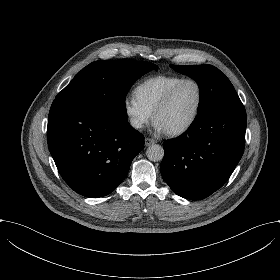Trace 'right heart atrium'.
Returning a JSON list of instances; mask_svg holds the SVG:
<instances>
[{
	"label": "right heart atrium",
	"mask_w": 280,
	"mask_h": 280,
	"mask_svg": "<svg viewBox=\"0 0 280 280\" xmlns=\"http://www.w3.org/2000/svg\"><path fill=\"white\" fill-rule=\"evenodd\" d=\"M123 108L130 126L135 130H141L153 117V113L135 95L125 98Z\"/></svg>",
	"instance_id": "1"
}]
</instances>
